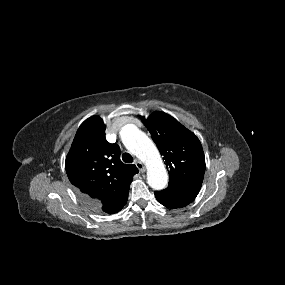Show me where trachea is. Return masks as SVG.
<instances>
[{"instance_id":"obj_1","label":"trachea","mask_w":285,"mask_h":285,"mask_svg":"<svg viewBox=\"0 0 285 285\" xmlns=\"http://www.w3.org/2000/svg\"><path fill=\"white\" fill-rule=\"evenodd\" d=\"M122 160L125 162V163H132L133 162V157L129 154V153H124L122 155Z\"/></svg>"}]
</instances>
